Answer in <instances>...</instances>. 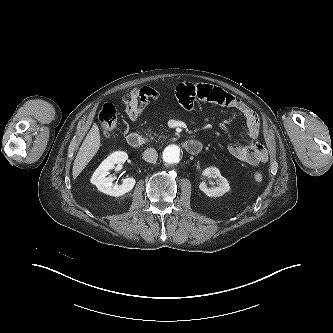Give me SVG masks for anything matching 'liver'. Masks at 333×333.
I'll return each instance as SVG.
<instances>
[{
    "label": "liver",
    "mask_w": 333,
    "mask_h": 333,
    "mask_svg": "<svg viewBox=\"0 0 333 333\" xmlns=\"http://www.w3.org/2000/svg\"><path fill=\"white\" fill-rule=\"evenodd\" d=\"M100 147V132L94 124L85 137L73 163L72 175L76 179L86 165L95 156Z\"/></svg>",
    "instance_id": "1"
}]
</instances>
